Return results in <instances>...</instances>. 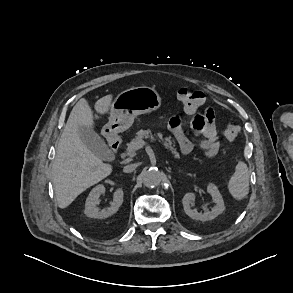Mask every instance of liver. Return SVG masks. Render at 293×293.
Returning <instances> with one entry per match:
<instances>
[{
  "label": "liver",
  "instance_id": "1",
  "mask_svg": "<svg viewBox=\"0 0 293 293\" xmlns=\"http://www.w3.org/2000/svg\"><path fill=\"white\" fill-rule=\"evenodd\" d=\"M112 95L95 103L99 114L111 111ZM93 112L86 99H80L73 107L58 143L52 165V178L58 206L68 207L82 192L108 177L112 165L91 152L82 142L79 127L93 128Z\"/></svg>",
  "mask_w": 293,
  "mask_h": 293
}]
</instances>
